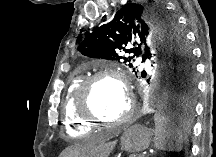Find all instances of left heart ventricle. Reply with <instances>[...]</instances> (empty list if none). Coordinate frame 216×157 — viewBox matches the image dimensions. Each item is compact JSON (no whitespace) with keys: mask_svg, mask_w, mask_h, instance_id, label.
<instances>
[{"mask_svg":"<svg viewBox=\"0 0 216 157\" xmlns=\"http://www.w3.org/2000/svg\"><path fill=\"white\" fill-rule=\"evenodd\" d=\"M128 106L121 87L111 79L97 81L91 90V109L94 114L107 122L118 120Z\"/></svg>","mask_w":216,"mask_h":157,"instance_id":"obj_1","label":"left heart ventricle"}]
</instances>
